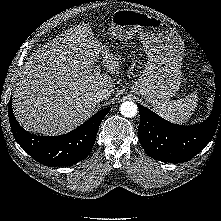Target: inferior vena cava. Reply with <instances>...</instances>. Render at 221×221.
<instances>
[{
  "label": "inferior vena cava",
  "mask_w": 221,
  "mask_h": 221,
  "mask_svg": "<svg viewBox=\"0 0 221 221\" xmlns=\"http://www.w3.org/2000/svg\"><path fill=\"white\" fill-rule=\"evenodd\" d=\"M107 98V94L105 91H97L92 94V100L96 103Z\"/></svg>",
  "instance_id": "602c4592"
}]
</instances>
